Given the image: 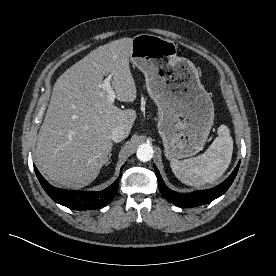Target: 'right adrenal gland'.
<instances>
[{
	"label": "right adrenal gland",
	"mask_w": 276,
	"mask_h": 276,
	"mask_svg": "<svg viewBox=\"0 0 276 276\" xmlns=\"http://www.w3.org/2000/svg\"><path fill=\"white\" fill-rule=\"evenodd\" d=\"M111 156H112V149L110 150L109 156H108V158L106 160V165L110 163Z\"/></svg>",
	"instance_id": "obj_1"
}]
</instances>
